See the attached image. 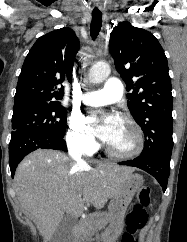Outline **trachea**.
Here are the masks:
<instances>
[{"instance_id": "1", "label": "trachea", "mask_w": 187, "mask_h": 242, "mask_svg": "<svg viewBox=\"0 0 187 242\" xmlns=\"http://www.w3.org/2000/svg\"><path fill=\"white\" fill-rule=\"evenodd\" d=\"M102 27V15L101 12L92 13V21L90 26V35L93 39H96L100 29Z\"/></svg>"}]
</instances>
